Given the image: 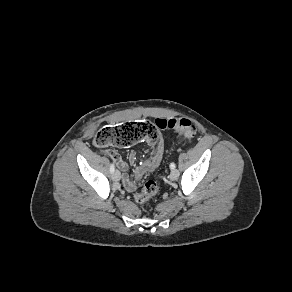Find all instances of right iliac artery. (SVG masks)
Instances as JSON below:
<instances>
[{"instance_id":"1","label":"right iliac artery","mask_w":292,"mask_h":292,"mask_svg":"<svg viewBox=\"0 0 292 292\" xmlns=\"http://www.w3.org/2000/svg\"><path fill=\"white\" fill-rule=\"evenodd\" d=\"M114 171H115L114 164H111V165H110V172L113 173Z\"/></svg>"}]
</instances>
